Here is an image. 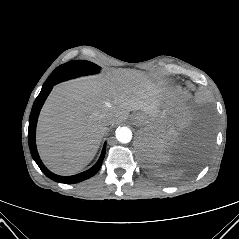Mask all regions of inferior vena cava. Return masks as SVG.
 <instances>
[{"mask_svg": "<svg viewBox=\"0 0 239 239\" xmlns=\"http://www.w3.org/2000/svg\"><path fill=\"white\" fill-rule=\"evenodd\" d=\"M113 116L112 115H106L105 116V122L107 123V124H109V123H111L112 121H113Z\"/></svg>", "mask_w": 239, "mask_h": 239, "instance_id": "1", "label": "inferior vena cava"}]
</instances>
